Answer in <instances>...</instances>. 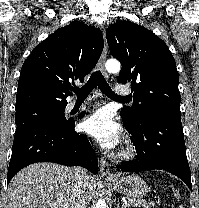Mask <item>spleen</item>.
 <instances>
[{
  "label": "spleen",
  "instance_id": "1",
  "mask_svg": "<svg viewBox=\"0 0 199 208\" xmlns=\"http://www.w3.org/2000/svg\"><path fill=\"white\" fill-rule=\"evenodd\" d=\"M178 199H179V194L178 192L174 194ZM180 208H183L182 206H180Z\"/></svg>",
  "mask_w": 199,
  "mask_h": 208
}]
</instances>
